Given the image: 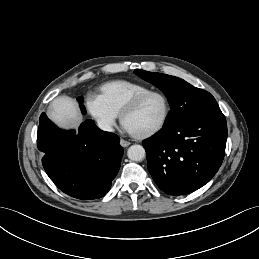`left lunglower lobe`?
<instances>
[{"label": "left lung lower lobe", "mask_w": 259, "mask_h": 259, "mask_svg": "<svg viewBox=\"0 0 259 259\" xmlns=\"http://www.w3.org/2000/svg\"><path fill=\"white\" fill-rule=\"evenodd\" d=\"M227 124L222 112L163 128L146 140L148 170L169 195H186L208 183L222 164Z\"/></svg>", "instance_id": "1"}]
</instances>
